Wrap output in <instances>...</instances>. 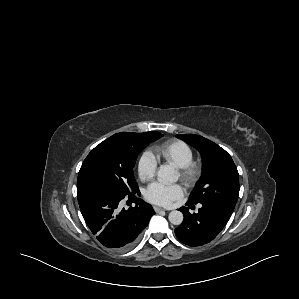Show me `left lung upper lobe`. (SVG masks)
Masks as SVG:
<instances>
[{
  "instance_id": "obj_1",
  "label": "left lung upper lobe",
  "mask_w": 299,
  "mask_h": 299,
  "mask_svg": "<svg viewBox=\"0 0 299 299\" xmlns=\"http://www.w3.org/2000/svg\"><path fill=\"white\" fill-rule=\"evenodd\" d=\"M202 156L203 172L188 203L215 204L231 213L239 197V174L231 156L214 142L194 134H177Z\"/></svg>"
}]
</instances>
